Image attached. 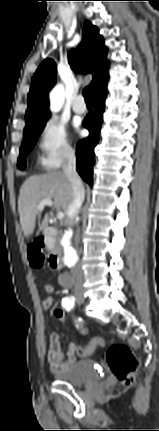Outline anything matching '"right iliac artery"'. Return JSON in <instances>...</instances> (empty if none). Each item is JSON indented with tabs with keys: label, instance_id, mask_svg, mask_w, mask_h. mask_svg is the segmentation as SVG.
<instances>
[{
	"label": "right iliac artery",
	"instance_id": "right-iliac-artery-1",
	"mask_svg": "<svg viewBox=\"0 0 159 431\" xmlns=\"http://www.w3.org/2000/svg\"><path fill=\"white\" fill-rule=\"evenodd\" d=\"M74 304H75V298L74 297H67V298H64L62 300V306L67 311H70L74 307Z\"/></svg>",
	"mask_w": 159,
	"mask_h": 431
}]
</instances>
